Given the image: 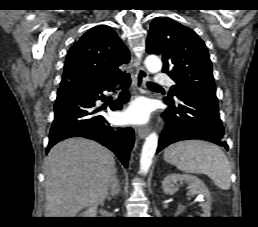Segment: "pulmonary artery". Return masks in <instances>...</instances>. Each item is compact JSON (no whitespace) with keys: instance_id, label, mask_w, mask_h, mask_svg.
<instances>
[{"instance_id":"pulmonary-artery-1","label":"pulmonary artery","mask_w":258,"mask_h":227,"mask_svg":"<svg viewBox=\"0 0 258 227\" xmlns=\"http://www.w3.org/2000/svg\"><path fill=\"white\" fill-rule=\"evenodd\" d=\"M156 84H171V79L165 74L158 73L155 75Z\"/></svg>"}]
</instances>
